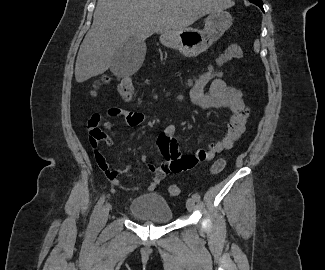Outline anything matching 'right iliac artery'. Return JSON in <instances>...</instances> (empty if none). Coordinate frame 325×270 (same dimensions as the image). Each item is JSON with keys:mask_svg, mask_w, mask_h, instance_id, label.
I'll return each mask as SVG.
<instances>
[{"mask_svg": "<svg viewBox=\"0 0 325 270\" xmlns=\"http://www.w3.org/2000/svg\"><path fill=\"white\" fill-rule=\"evenodd\" d=\"M104 201H105V195H103V196L98 200V202H97V204H96V206H95V208H94V210H93V212H92V215H91V217H90V224H94V223L96 222L97 217H98V215H99V213H100V210H101V208H102V205H103Z\"/></svg>", "mask_w": 325, "mask_h": 270, "instance_id": "82829eb1", "label": "right iliac artery"}]
</instances>
